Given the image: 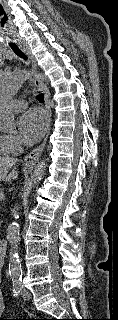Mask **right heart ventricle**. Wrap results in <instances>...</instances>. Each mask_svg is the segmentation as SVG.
I'll return each mask as SVG.
<instances>
[{
	"label": "right heart ventricle",
	"mask_w": 118,
	"mask_h": 320,
	"mask_svg": "<svg viewBox=\"0 0 118 320\" xmlns=\"http://www.w3.org/2000/svg\"><path fill=\"white\" fill-rule=\"evenodd\" d=\"M9 151L4 144L3 137L0 135V155L8 154Z\"/></svg>",
	"instance_id": "1"
}]
</instances>
